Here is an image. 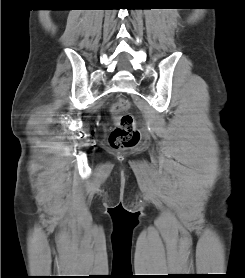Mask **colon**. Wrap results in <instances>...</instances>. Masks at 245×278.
I'll use <instances>...</instances> for the list:
<instances>
[{
  "instance_id": "1",
  "label": "colon",
  "mask_w": 245,
  "mask_h": 278,
  "mask_svg": "<svg viewBox=\"0 0 245 278\" xmlns=\"http://www.w3.org/2000/svg\"><path fill=\"white\" fill-rule=\"evenodd\" d=\"M129 108L130 101L125 96H119L111 107L115 127L110 134V142L117 149L135 145L140 137L134 118L132 115L124 113Z\"/></svg>"
}]
</instances>
